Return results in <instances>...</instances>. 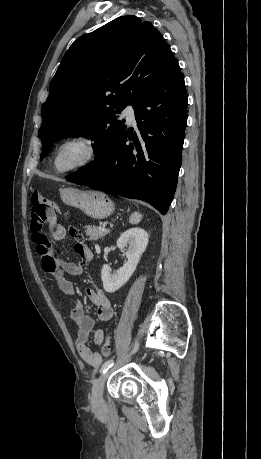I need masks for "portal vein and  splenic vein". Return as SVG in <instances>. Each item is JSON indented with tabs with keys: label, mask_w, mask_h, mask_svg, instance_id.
Instances as JSON below:
<instances>
[{
	"label": "portal vein and splenic vein",
	"mask_w": 261,
	"mask_h": 459,
	"mask_svg": "<svg viewBox=\"0 0 261 459\" xmlns=\"http://www.w3.org/2000/svg\"><path fill=\"white\" fill-rule=\"evenodd\" d=\"M99 229L102 230V231H108V229L103 227V226H99Z\"/></svg>",
	"instance_id": "1"
}]
</instances>
